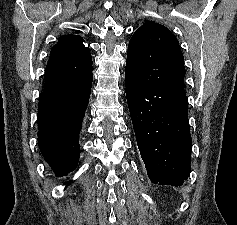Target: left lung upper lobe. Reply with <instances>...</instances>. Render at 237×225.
<instances>
[{"label":"left lung upper lobe","mask_w":237,"mask_h":225,"mask_svg":"<svg viewBox=\"0 0 237 225\" xmlns=\"http://www.w3.org/2000/svg\"><path fill=\"white\" fill-rule=\"evenodd\" d=\"M126 71L139 83L183 90L184 57L177 38L165 26L147 21L129 42Z\"/></svg>","instance_id":"obj_1"}]
</instances>
